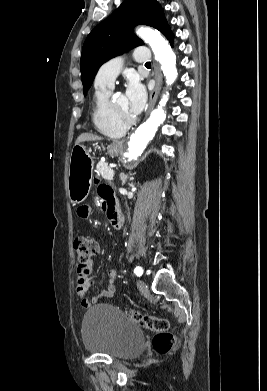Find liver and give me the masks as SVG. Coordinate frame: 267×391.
<instances>
[{
    "mask_svg": "<svg viewBox=\"0 0 267 391\" xmlns=\"http://www.w3.org/2000/svg\"><path fill=\"white\" fill-rule=\"evenodd\" d=\"M101 137L97 136V135H94V134H91V133H83L81 134L77 140H76V145L77 144H80L81 142H85V141H96V140H100Z\"/></svg>",
    "mask_w": 267,
    "mask_h": 391,
    "instance_id": "obj_1",
    "label": "liver"
}]
</instances>
